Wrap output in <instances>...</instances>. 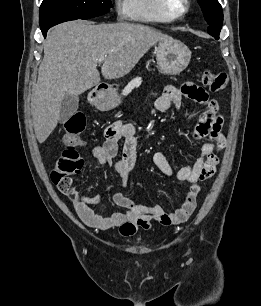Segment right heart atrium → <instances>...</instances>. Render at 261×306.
<instances>
[{"label": "right heart atrium", "mask_w": 261, "mask_h": 306, "mask_svg": "<svg viewBox=\"0 0 261 306\" xmlns=\"http://www.w3.org/2000/svg\"><path fill=\"white\" fill-rule=\"evenodd\" d=\"M113 6L118 18L122 19L128 15L127 0H113Z\"/></svg>", "instance_id": "right-heart-atrium-1"}]
</instances>
